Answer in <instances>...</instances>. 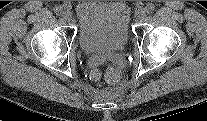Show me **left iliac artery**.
<instances>
[{
    "label": "left iliac artery",
    "mask_w": 207,
    "mask_h": 121,
    "mask_svg": "<svg viewBox=\"0 0 207 121\" xmlns=\"http://www.w3.org/2000/svg\"><path fill=\"white\" fill-rule=\"evenodd\" d=\"M155 7L154 5L152 4H149L145 7V11L148 13V14H151L153 11H154Z\"/></svg>",
    "instance_id": "obj_1"
}]
</instances>
